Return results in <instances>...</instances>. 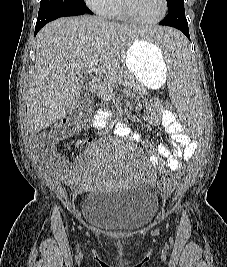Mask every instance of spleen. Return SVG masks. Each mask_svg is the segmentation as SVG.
<instances>
[{
	"label": "spleen",
	"mask_w": 227,
	"mask_h": 267,
	"mask_svg": "<svg viewBox=\"0 0 227 267\" xmlns=\"http://www.w3.org/2000/svg\"><path fill=\"white\" fill-rule=\"evenodd\" d=\"M171 25H135V30H147L139 37L140 41L156 43L157 55H164L166 63H170L169 93L172 101L180 110L176 115H202L200 102V89L195 82L188 58L187 41L179 29H171ZM186 137H203L205 134L202 116H181Z\"/></svg>",
	"instance_id": "1"
}]
</instances>
